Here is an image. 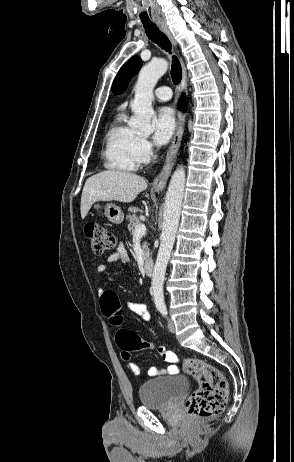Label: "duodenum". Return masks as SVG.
Here are the masks:
<instances>
[{
    "instance_id": "duodenum-1",
    "label": "duodenum",
    "mask_w": 294,
    "mask_h": 462,
    "mask_svg": "<svg viewBox=\"0 0 294 462\" xmlns=\"http://www.w3.org/2000/svg\"><path fill=\"white\" fill-rule=\"evenodd\" d=\"M143 269H144V272L147 274V275H150L153 273V270H154V261L152 258H146L144 260V263H143Z\"/></svg>"
}]
</instances>
